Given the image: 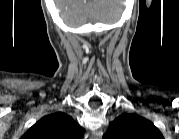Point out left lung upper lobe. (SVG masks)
Segmentation results:
<instances>
[{"instance_id":"5c2ea615","label":"left lung upper lobe","mask_w":179,"mask_h":139,"mask_svg":"<svg viewBox=\"0 0 179 139\" xmlns=\"http://www.w3.org/2000/svg\"><path fill=\"white\" fill-rule=\"evenodd\" d=\"M109 139H163L161 132L149 120L136 114H122L109 124L105 134Z\"/></svg>"}]
</instances>
